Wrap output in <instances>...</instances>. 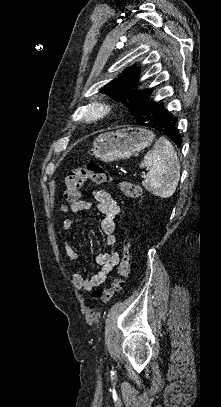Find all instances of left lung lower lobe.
<instances>
[{
    "mask_svg": "<svg viewBox=\"0 0 221 407\" xmlns=\"http://www.w3.org/2000/svg\"><path fill=\"white\" fill-rule=\"evenodd\" d=\"M152 96V90L143 92L140 107L135 115L136 125L154 128L180 146L182 139L176 127L177 117L168 112L164 104Z\"/></svg>",
    "mask_w": 221,
    "mask_h": 407,
    "instance_id": "1",
    "label": "left lung lower lobe"
}]
</instances>
